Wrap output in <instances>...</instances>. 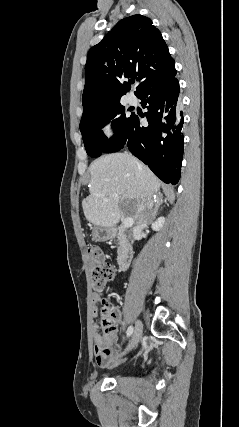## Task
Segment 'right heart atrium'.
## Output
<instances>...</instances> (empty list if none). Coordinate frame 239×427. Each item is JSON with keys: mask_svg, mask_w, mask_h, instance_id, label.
Returning <instances> with one entry per match:
<instances>
[{"mask_svg": "<svg viewBox=\"0 0 239 427\" xmlns=\"http://www.w3.org/2000/svg\"><path fill=\"white\" fill-rule=\"evenodd\" d=\"M102 131L108 138H112L115 135V126L112 119H107L102 124Z\"/></svg>", "mask_w": 239, "mask_h": 427, "instance_id": "1", "label": "right heart atrium"}]
</instances>
